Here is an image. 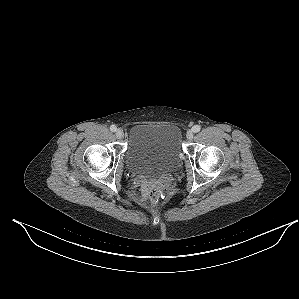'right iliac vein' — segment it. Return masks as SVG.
Returning a JSON list of instances; mask_svg holds the SVG:
<instances>
[{
  "mask_svg": "<svg viewBox=\"0 0 299 299\" xmlns=\"http://www.w3.org/2000/svg\"><path fill=\"white\" fill-rule=\"evenodd\" d=\"M115 135L118 139H122L124 137V132L121 129H117Z\"/></svg>",
  "mask_w": 299,
  "mask_h": 299,
  "instance_id": "63e3f726",
  "label": "right iliac vein"
}]
</instances>
